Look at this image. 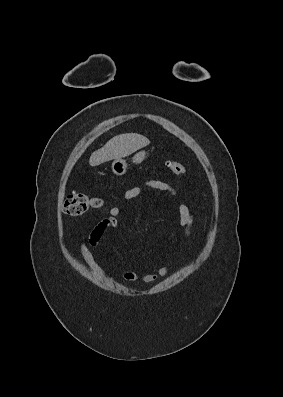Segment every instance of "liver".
I'll return each mask as SVG.
<instances>
[{
	"instance_id": "1",
	"label": "liver",
	"mask_w": 283,
	"mask_h": 397,
	"mask_svg": "<svg viewBox=\"0 0 283 397\" xmlns=\"http://www.w3.org/2000/svg\"><path fill=\"white\" fill-rule=\"evenodd\" d=\"M150 141L140 134H120L110 139L102 148L93 152L89 159L90 166H98L112 159L128 156L147 146Z\"/></svg>"
}]
</instances>
